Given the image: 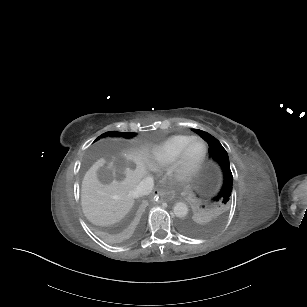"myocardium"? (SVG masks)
Returning <instances> with one entry per match:
<instances>
[{"label": "myocardium", "instance_id": "obj_1", "mask_svg": "<svg viewBox=\"0 0 307 307\" xmlns=\"http://www.w3.org/2000/svg\"><path fill=\"white\" fill-rule=\"evenodd\" d=\"M201 142L204 146V152L202 157L194 164H188L186 162L187 152L190 145L193 142ZM208 157V145L199 137H191L184 147L182 148L179 155L167 164L164 172L165 176L169 179H173L180 183H187L193 179V177L203 168Z\"/></svg>", "mask_w": 307, "mask_h": 307}]
</instances>
